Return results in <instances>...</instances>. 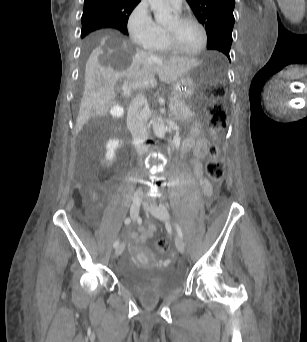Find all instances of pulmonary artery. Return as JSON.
<instances>
[{"label":"pulmonary artery","mask_w":307,"mask_h":342,"mask_svg":"<svg viewBox=\"0 0 307 342\" xmlns=\"http://www.w3.org/2000/svg\"><path fill=\"white\" fill-rule=\"evenodd\" d=\"M171 6H173L175 9L179 10L180 5L183 1H167Z\"/></svg>","instance_id":"1"}]
</instances>
